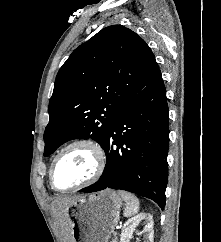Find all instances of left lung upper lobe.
<instances>
[{
  "mask_svg": "<svg viewBox=\"0 0 221 242\" xmlns=\"http://www.w3.org/2000/svg\"><path fill=\"white\" fill-rule=\"evenodd\" d=\"M158 71L149 46L122 25L81 44L56 76L44 156L71 139L92 138L103 146L116 115Z\"/></svg>",
  "mask_w": 221,
  "mask_h": 242,
  "instance_id": "obj_1",
  "label": "left lung upper lobe"
}]
</instances>
